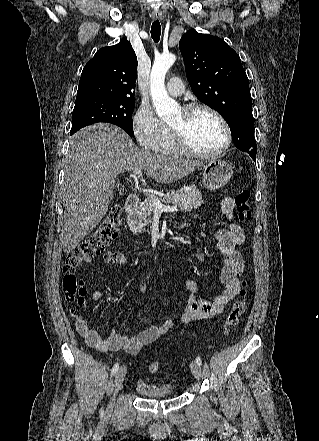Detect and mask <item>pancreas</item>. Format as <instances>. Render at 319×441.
<instances>
[{"label":"pancreas","instance_id":"pancreas-1","mask_svg":"<svg viewBox=\"0 0 319 441\" xmlns=\"http://www.w3.org/2000/svg\"><path fill=\"white\" fill-rule=\"evenodd\" d=\"M158 200L162 204L176 206L182 212H189L203 203L202 195L195 185H191L187 189L167 193L164 198H158ZM154 212L151 198H147L140 203L128 219V225L133 234L146 232L145 227L152 222V214Z\"/></svg>","mask_w":319,"mask_h":441}]
</instances>
